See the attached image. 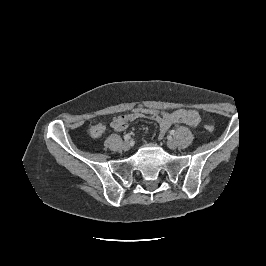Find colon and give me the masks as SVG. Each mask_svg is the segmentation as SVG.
Masks as SVG:
<instances>
[{"label":"colon","mask_w":266,"mask_h":266,"mask_svg":"<svg viewBox=\"0 0 266 266\" xmlns=\"http://www.w3.org/2000/svg\"><path fill=\"white\" fill-rule=\"evenodd\" d=\"M130 113L135 117L141 118H152L155 116H164L168 114L165 110L149 107H136ZM204 128L209 132L214 130V126L212 125H205Z\"/></svg>","instance_id":"obj_1"}]
</instances>
